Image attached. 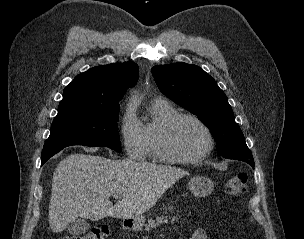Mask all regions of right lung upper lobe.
Masks as SVG:
<instances>
[{
	"instance_id": "right-lung-upper-lobe-1",
	"label": "right lung upper lobe",
	"mask_w": 304,
	"mask_h": 239,
	"mask_svg": "<svg viewBox=\"0 0 304 239\" xmlns=\"http://www.w3.org/2000/svg\"><path fill=\"white\" fill-rule=\"evenodd\" d=\"M137 79L138 66L131 61L94 67L65 87L58 111L116 106Z\"/></svg>"
}]
</instances>
